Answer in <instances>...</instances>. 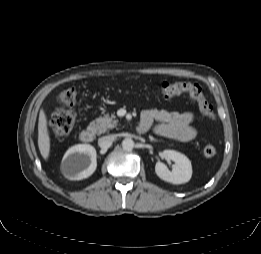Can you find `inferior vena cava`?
<instances>
[{
  "label": "inferior vena cava",
  "mask_w": 261,
  "mask_h": 254,
  "mask_svg": "<svg viewBox=\"0 0 261 254\" xmlns=\"http://www.w3.org/2000/svg\"><path fill=\"white\" fill-rule=\"evenodd\" d=\"M115 138H116L115 135L103 136V137L98 139V145L102 149H108L112 145Z\"/></svg>",
  "instance_id": "obj_1"
}]
</instances>
